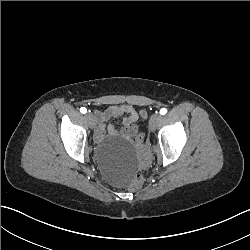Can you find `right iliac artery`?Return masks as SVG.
Instances as JSON below:
<instances>
[{
  "instance_id": "obj_1",
  "label": "right iliac artery",
  "mask_w": 250,
  "mask_h": 250,
  "mask_svg": "<svg viewBox=\"0 0 250 250\" xmlns=\"http://www.w3.org/2000/svg\"><path fill=\"white\" fill-rule=\"evenodd\" d=\"M80 112L83 113V114H85L87 112V109L85 107H81L80 108Z\"/></svg>"
}]
</instances>
